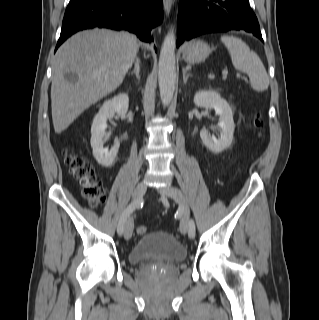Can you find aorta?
Segmentation results:
<instances>
[{
    "mask_svg": "<svg viewBox=\"0 0 319 320\" xmlns=\"http://www.w3.org/2000/svg\"><path fill=\"white\" fill-rule=\"evenodd\" d=\"M175 33L170 28L161 47L158 63V81L160 97L163 105H169L175 90L176 59H175Z\"/></svg>",
    "mask_w": 319,
    "mask_h": 320,
    "instance_id": "762f6f07",
    "label": "aorta"
}]
</instances>
